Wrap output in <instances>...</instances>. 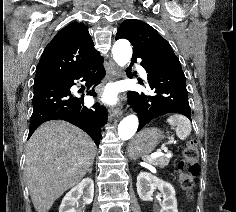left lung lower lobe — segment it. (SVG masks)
<instances>
[{"label":"left lung lower lobe","instance_id":"left-lung-lower-lobe-1","mask_svg":"<svg viewBox=\"0 0 236 212\" xmlns=\"http://www.w3.org/2000/svg\"><path fill=\"white\" fill-rule=\"evenodd\" d=\"M137 58L132 57L131 65ZM141 66L148 73V83L153 94L128 92L130 105L139 118L138 131L151 120L168 113H179L191 120L186 78L180 61L142 60Z\"/></svg>","mask_w":236,"mask_h":212}]
</instances>
